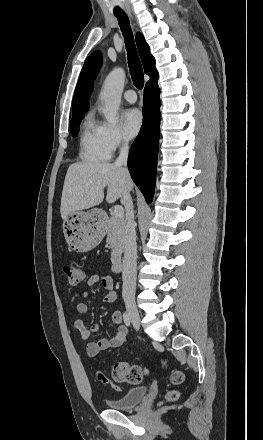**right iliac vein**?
I'll list each match as a JSON object with an SVG mask.
<instances>
[{
	"instance_id": "63e3f726",
	"label": "right iliac vein",
	"mask_w": 263,
	"mask_h": 440,
	"mask_svg": "<svg viewBox=\"0 0 263 440\" xmlns=\"http://www.w3.org/2000/svg\"><path fill=\"white\" fill-rule=\"evenodd\" d=\"M125 305L132 324L136 330L140 327V315L133 299H126Z\"/></svg>"
}]
</instances>
